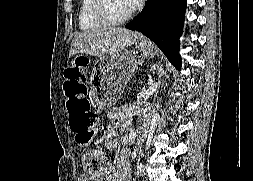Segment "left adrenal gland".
Listing matches in <instances>:
<instances>
[{"label": "left adrenal gland", "instance_id": "left-adrenal-gland-1", "mask_svg": "<svg viewBox=\"0 0 253 181\" xmlns=\"http://www.w3.org/2000/svg\"><path fill=\"white\" fill-rule=\"evenodd\" d=\"M159 71H160V70H159ZM159 87H160V81L157 83L155 96L157 95V93H158V91H159Z\"/></svg>", "mask_w": 253, "mask_h": 181}]
</instances>
